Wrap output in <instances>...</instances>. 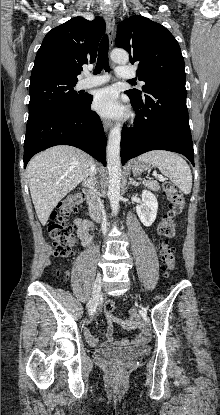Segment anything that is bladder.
Wrapping results in <instances>:
<instances>
[{
  "mask_svg": "<svg viewBox=\"0 0 220 415\" xmlns=\"http://www.w3.org/2000/svg\"><path fill=\"white\" fill-rule=\"evenodd\" d=\"M148 345H138L127 348H113L101 353L107 359L114 361H128L143 355H146L149 352Z\"/></svg>",
  "mask_w": 220,
  "mask_h": 415,
  "instance_id": "31cf9c89",
  "label": "bladder"
}]
</instances>
